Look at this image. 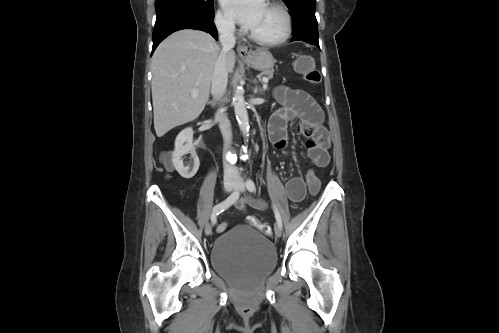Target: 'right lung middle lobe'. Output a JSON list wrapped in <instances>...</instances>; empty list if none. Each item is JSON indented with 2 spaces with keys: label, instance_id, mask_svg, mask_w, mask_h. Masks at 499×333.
<instances>
[{
  "label": "right lung middle lobe",
  "instance_id": "1",
  "mask_svg": "<svg viewBox=\"0 0 499 333\" xmlns=\"http://www.w3.org/2000/svg\"><path fill=\"white\" fill-rule=\"evenodd\" d=\"M213 3L214 0H156V20L177 13L209 17L214 15Z\"/></svg>",
  "mask_w": 499,
  "mask_h": 333
}]
</instances>
